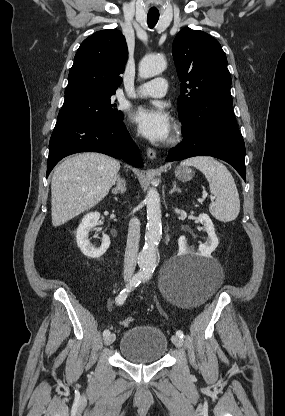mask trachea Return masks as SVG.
Wrapping results in <instances>:
<instances>
[{
	"label": "trachea",
	"instance_id": "1",
	"mask_svg": "<svg viewBox=\"0 0 285 416\" xmlns=\"http://www.w3.org/2000/svg\"><path fill=\"white\" fill-rule=\"evenodd\" d=\"M159 20V13H148L147 23L150 28H153Z\"/></svg>",
	"mask_w": 285,
	"mask_h": 416
}]
</instances>
